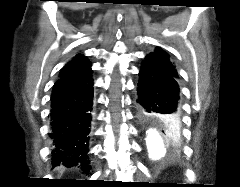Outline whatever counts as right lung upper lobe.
I'll return each instance as SVG.
<instances>
[{
  "label": "right lung upper lobe",
  "instance_id": "cb5924a9",
  "mask_svg": "<svg viewBox=\"0 0 240 187\" xmlns=\"http://www.w3.org/2000/svg\"><path fill=\"white\" fill-rule=\"evenodd\" d=\"M89 63L90 62L83 55L78 54L74 59H72L62 68L59 76H63L67 73H70L71 71Z\"/></svg>",
  "mask_w": 240,
  "mask_h": 187
}]
</instances>
